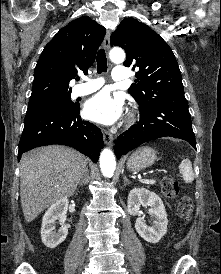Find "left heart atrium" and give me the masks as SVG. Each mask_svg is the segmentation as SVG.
<instances>
[{
  "label": "left heart atrium",
  "mask_w": 221,
  "mask_h": 274,
  "mask_svg": "<svg viewBox=\"0 0 221 274\" xmlns=\"http://www.w3.org/2000/svg\"><path fill=\"white\" fill-rule=\"evenodd\" d=\"M123 112V99L102 91L90 98L84 106V115L89 120L110 125L116 122Z\"/></svg>",
  "instance_id": "1"
}]
</instances>
